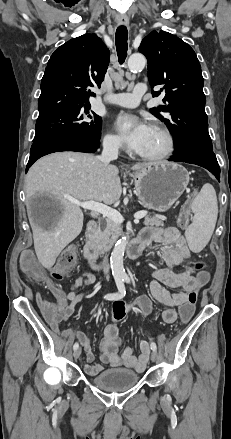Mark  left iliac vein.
<instances>
[{
    "label": "left iliac vein",
    "mask_w": 231,
    "mask_h": 439,
    "mask_svg": "<svg viewBox=\"0 0 231 439\" xmlns=\"http://www.w3.org/2000/svg\"><path fill=\"white\" fill-rule=\"evenodd\" d=\"M151 360L153 362H157L158 361V353L156 351H152V353H151Z\"/></svg>",
    "instance_id": "1"
}]
</instances>
